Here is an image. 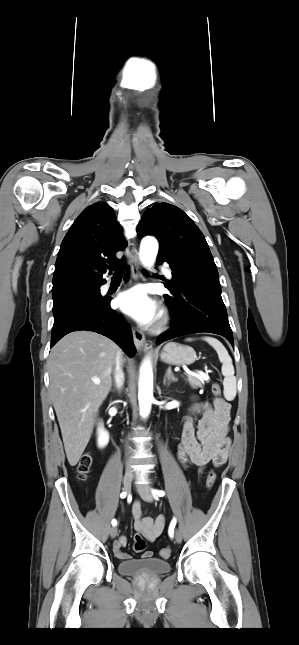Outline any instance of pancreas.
Returning <instances> with one entry per match:
<instances>
[{"instance_id":"1","label":"pancreas","mask_w":299,"mask_h":645,"mask_svg":"<svg viewBox=\"0 0 299 645\" xmlns=\"http://www.w3.org/2000/svg\"><path fill=\"white\" fill-rule=\"evenodd\" d=\"M187 380L190 383L191 387L195 389L197 387H201L202 383H204V381L209 382V377L204 378L202 376L197 377V376H193V375H188Z\"/></svg>"}]
</instances>
